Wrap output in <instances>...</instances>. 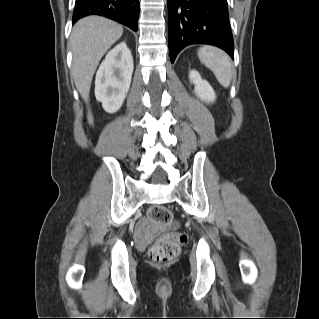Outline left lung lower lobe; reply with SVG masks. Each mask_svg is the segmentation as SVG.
<instances>
[{"label": "left lung lower lobe", "instance_id": "1", "mask_svg": "<svg viewBox=\"0 0 319 319\" xmlns=\"http://www.w3.org/2000/svg\"><path fill=\"white\" fill-rule=\"evenodd\" d=\"M168 41L171 62L191 44H209L234 59L227 0H168Z\"/></svg>", "mask_w": 319, "mask_h": 319}]
</instances>
